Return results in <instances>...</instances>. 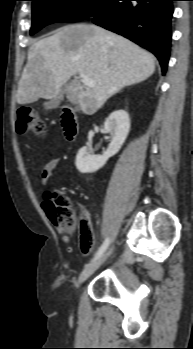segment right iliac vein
Here are the masks:
<instances>
[{"label": "right iliac vein", "mask_w": 193, "mask_h": 349, "mask_svg": "<svg viewBox=\"0 0 193 349\" xmlns=\"http://www.w3.org/2000/svg\"><path fill=\"white\" fill-rule=\"evenodd\" d=\"M111 251H112V247L104 255H102L96 261H94L93 263L87 265L83 269V271L81 272V274L79 276L77 286H79L81 283L86 281L102 265V263L110 255Z\"/></svg>", "instance_id": "obj_1"}]
</instances>
